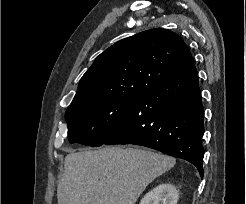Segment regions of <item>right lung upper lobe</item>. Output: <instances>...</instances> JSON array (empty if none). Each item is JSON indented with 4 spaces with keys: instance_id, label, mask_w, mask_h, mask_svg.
<instances>
[{
    "instance_id": "obj_1",
    "label": "right lung upper lobe",
    "mask_w": 246,
    "mask_h": 204,
    "mask_svg": "<svg viewBox=\"0 0 246 204\" xmlns=\"http://www.w3.org/2000/svg\"><path fill=\"white\" fill-rule=\"evenodd\" d=\"M191 65L192 55L178 34L147 30L101 53L82 76L71 105L108 95L142 94Z\"/></svg>"
}]
</instances>
